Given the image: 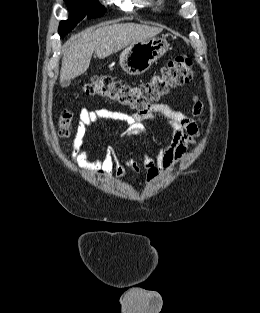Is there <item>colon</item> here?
<instances>
[{
    "mask_svg": "<svg viewBox=\"0 0 260 313\" xmlns=\"http://www.w3.org/2000/svg\"><path fill=\"white\" fill-rule=\"evenodd\" d=\"M192 61L186 56L170 59L159 72L140 84H126L109 76L93 77L83 85L89 96L106 99L137 111H147L172 89L192 81ZM73 113L64 110L58 120L57 134L67 138L72 130Z\"/></svg>",
    "mask_w": 260,
    "mask_h": 313,
    "instance_id": "1",
    "label": "colon"
}]
</instances>
